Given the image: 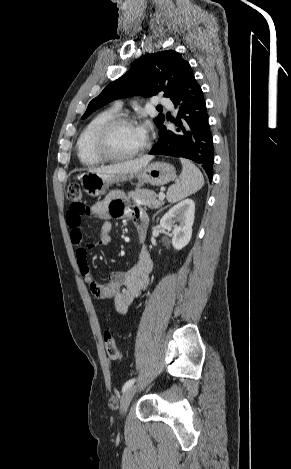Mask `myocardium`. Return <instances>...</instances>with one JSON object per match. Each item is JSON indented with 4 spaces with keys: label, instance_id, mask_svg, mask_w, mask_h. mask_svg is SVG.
Instances as JSON below:
<instances>
[{
    "label": "myocardium",
    "instance_id": "obj_1",
    "mask_svg": "<svg viewBox=\"0 0 291 469\" xmlns=\"http://www.w3.org/2000/svg\"><path fill=\"white\" fill-rule=\"evenodd\" d=\"M121 124H132L135 125V120L125 114H117L112 118L105 121L98 129L95 137V146L97 152L102 156L105 160L110 161H125L132 159L136 156L141 155L144 153L149 145V139H146L144 145L139 148L138 150L128 153V154H117L111 148V136L114 129L121 125Z\"/></svg>",
    "mask_w": 291,
    "mask_h": 469
}]
</instances>
